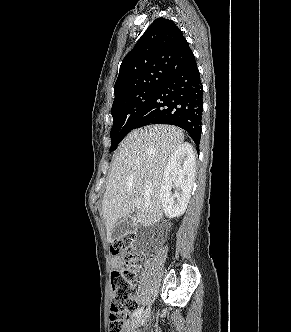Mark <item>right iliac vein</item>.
Segmentation results:
<instances>
[{
	"label": "right iliac vein",
	"instance_id": "obj_1",
	"mask_svg": "<svg viewBox=\"0 0 291 332\" xmlns=\"http://www.w3.org/2000/svg\"><path fill=\"white\" fill-rule=\"evenodd\" d=\"M150 315V308H147L143 313H141L139 316L134 318L131 322V325L129 326V330H134L137 327H140L145 323V321L148 319Z\"/></svg>",
	"mask_w": 291,
	"mask_h": 332
}]
</instances>
